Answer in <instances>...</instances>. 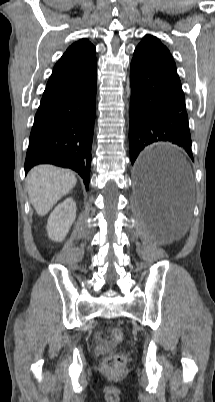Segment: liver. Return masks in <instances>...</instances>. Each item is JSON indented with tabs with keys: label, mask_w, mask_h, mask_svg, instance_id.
Here are the masks:
<instances>
[{
	"label": "liver",
	"mask_w": 215,
	"mask_h": 402,
	"mask_svg": "<svg viewBox=\"0 0 215 402\" xmlns=\"http://www.w3.org/2000/svg\"><path fill=\"white\" fill-rule=\"evenodd\" d=\"M71 170L52 165H39L27 175L29 200L39 216L46 215L53 206L76 185Z\"/></svg>",
	"instance_id": "6515ba94"
}]
</instances>
